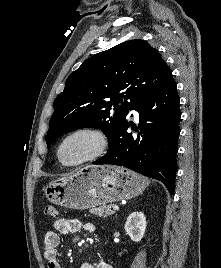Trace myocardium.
<instances>
[{"label": "myocardium", "mask_w": 221, "mask_h": 268, "mask_svg": "<svg viewBox=\"0 0 221 268\" xmlns=\"http://www.w3.org/2000/svg\"><path fill=\"white\" fill-rule=\"evenodd\" d=\"M79 135L90 136L94 140L93 148L82 158L74 162H65L61 156V150L63 146L72 138ZM109 139L106 133L96 127H80L67 133L58 142L55 150V156L58 162L64 167H77L85 163L94 161L101 157L108 149Z\"/></svg>", "instance_id": "1"}]
</instances>
